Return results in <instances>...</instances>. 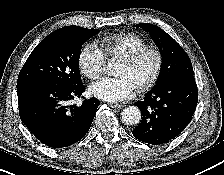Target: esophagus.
<instances>
[{
	"instance_id": "esophagus-1",
	"label": "esophagus",
	"mask_w": 224,
	"mask_h": 175,
	"mask_svg": "<svg viewBox=\"0 0 224 175\" xmlns=\"http://www.w3.org/2000/svg\"><path fill=\"white\" fill-rule=\"evenodd\" d=\"M109 106L114 109H122L124 107L123 104L110 103Z\"/></svg>"
}]
</instances>
